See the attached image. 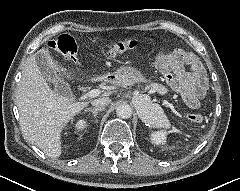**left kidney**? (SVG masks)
<instances>
[{
    "instance_id": "5707ae66",
    "label": "left kidney",
    "mask_w": 240,
    "mask_h": 191,
    "mask_svg": "<svg viewBox=\"0 0 240 191\" xmlns=\"http://www.w3.org/2000/svg\"><path fill=\"white\" fill-rule=\"evenodd\" d=\"M150 139L153 144L156 145L165 144L167 139V132L164 130L152 131L150 133Z\"/></svg>"
}]
</instances>
